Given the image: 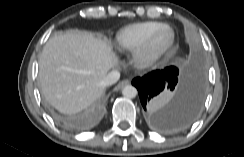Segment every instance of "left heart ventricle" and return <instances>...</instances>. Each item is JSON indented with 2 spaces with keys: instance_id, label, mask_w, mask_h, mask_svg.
Instances as JSON below:
<instances>
[{
  "instance_id": "b2bd125f",
  "label": "left heart ventricle",
  "mask_w": 244,
  "mask_h": 157,
  "mask_svg": "<svg viewBox=\"0 0 244 157\" xmlns=\"http://www.w3.org/2000/svg\"><path fill=\"white\" fill-rule=\"evenodd\" d=\"M165 34H166L165 32L162 34V36H161V40L164 39Z\"/></svg>"
}]
</instances>
